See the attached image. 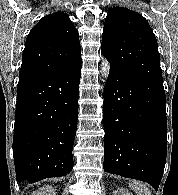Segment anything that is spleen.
Returning <instances> with one entry per match:
<instances>
[{"label": "spleen", "instance_id": "3e777b00", "mask_svg": "<svg viewBox=\"0 0 178 195\" xmlns=\"http://www.w3.org/2000/svg\"><path fill=\"white\" fill-rule=\"evenodd\" d=\"M128 185L137 195H151V192L146 184L135 181L129 183Z\"/></svg>", "mask_w": 178, "mask_h": 195}]
</instances>
